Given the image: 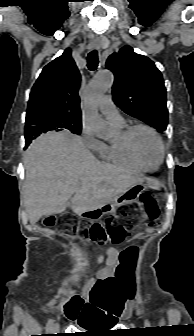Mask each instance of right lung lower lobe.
<instances>
[{
	"label": "right lung lower lobe",
	"mask_w": 194,
	"mask_h": 336,
	"mask_svg": "<svg viewBox=\"0 0 194 336\" xmlns=\"http://www.w3.org/2000/svg\"><path fill=\"white\" fill-rule=\"evenodd\" d=\"M30 143H26V146H25V148H27V146L29 145Z\"/></svg>",
	"instance_id": "obj_1"
}]
</instances>
